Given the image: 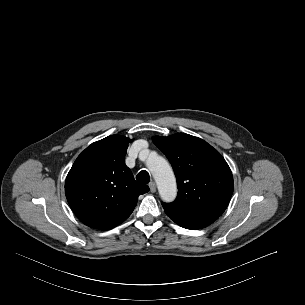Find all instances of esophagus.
<instances>
[{"mask_svg":"<svg viewBox=\"0 0 305 305\" xmlns=\"http://www.w3.org/2000/svg\"><path fill=\"white\" fill-rule=\"evenodd\" d=\"M149 188H150V191L152 193H154L156 191V184H155V182H150L149 183Z\"/></svg>","mask_w":305,"mask_h":305,"instance_id":"1","label":"esophagus"}]
</instances>
